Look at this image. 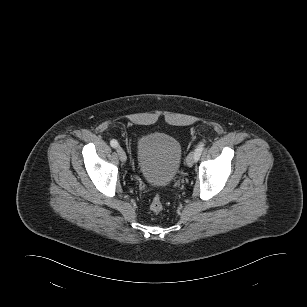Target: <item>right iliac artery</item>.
I'll use <instances>...</instances> for the list:
<instances>
[{
	"mask_svg": "<svg viewBox=\"0 0 307 307\" xmlns=\"http://www.w3.org/2000/svg\"><path fill=\"white\" fill-rule=\"evenodd\" d=\"M110 145L113 148H117L119 144H118L117 140L113 139V140L110 141Z\"/></svg>",
	"mask_w": 307,
	"mask_h": 307,
	"instance_id": "82829eb1",
	"label": "right iliac artery"
}]
</instances>
